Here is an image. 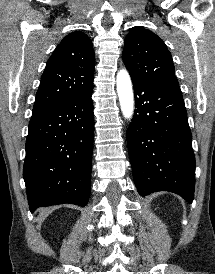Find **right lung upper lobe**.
<instances>
[{
	"mask_svg": "<svg viewBox=\"0 0 215 274\" xmlns=\"http://www.w3.org/2000/svg\"><path fill=\"white\" fill-rule=\"evenodd\" d=\"M95 53L88 36L75 31L56 47L45 67L33 114L53 108L93 86Z\"/></svg>",
	"mask_w": 215,
	"mask_h": 274,
	"instance_id": "cb5924a9",
	"label": "right lung upper lobe"
}]
</instances>
